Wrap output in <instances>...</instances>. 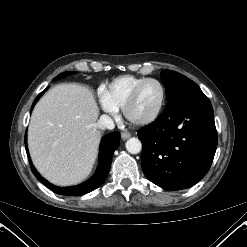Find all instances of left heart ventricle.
<instances>
[{"label":"left heart ventricle","mask_w":247,"mask_h":247,"mask_svg":"<svg viewBox=\"0 0 247 247\" xmlns=\"http://www.w3.org/2000/svg\"><path fill=\"white\" fill-rule=\"evenodd\" d=\"M161 95V88L158 84L150 82L143 86L135 102L130 107V118L138 121L153 115L160 104Z\"/></svg>","instance_id":"1"}]
</instances>
